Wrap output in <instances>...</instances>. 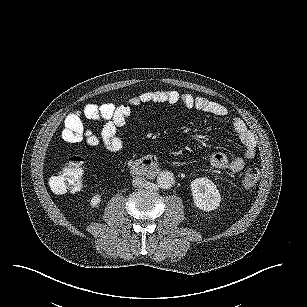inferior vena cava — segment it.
<instances>
[{"instance_id":"1","label":"inferior vena cava","mask_w":307,"mask_h":307,"mask_svg":"<svg viewBox=\"0 0 307 307\" xmlns=\"http://www.w3.org/2000/svg\"><path fill=\"white\" fill-rule=\"evenodd\" d=\"M148 181L145 177L143 176H135L133 179H132V185L134 188H143L147 185Z\"/></svg>"}]
</instances>
